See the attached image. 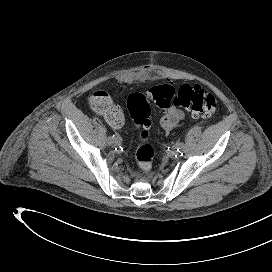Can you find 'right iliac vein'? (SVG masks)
<instances>
[{"instance_id": "1", "label": "right iliac vein", "mask_w": 272, "mask_h": 272, "mask_svg": "<svg viewBox=\"0 0 272 272\" xmlns=\"http://www.w3.org/2000/svg\"><path fill=\"white\" fill-rule=\"evenodd\" d=\"M120 142H121V138H119V140H117V141H111V140L109 139V137H108V139H107V143H108L109 145H118Z\"/></svg>"}]
</instances>
